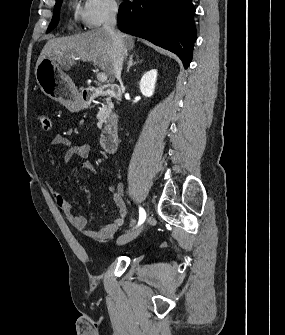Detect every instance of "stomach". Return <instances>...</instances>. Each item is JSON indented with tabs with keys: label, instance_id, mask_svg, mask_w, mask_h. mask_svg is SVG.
Instances as JSON below:
<instances>
[{
	"label": "stomach",
	"instance_id": "obj_1",
	"mask_svg": "<svg viewBox=\"0 0 285 335\" xmlns=\"http://www.w3.org/2000/svg\"><path fill=\"white\" fill-rule=\"evenodd\" d=\"M35 78L40 90L70 110H81L83 106L81 94L76 90L72 80L60 70L52 58H43L35 68Z\"/></svg>",
	"mask_w": 285,
	"mask_h": 335
}]
</instances>
